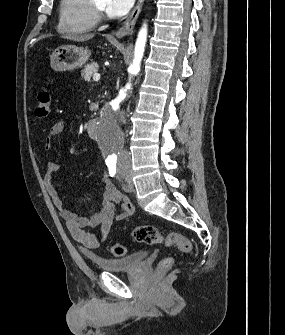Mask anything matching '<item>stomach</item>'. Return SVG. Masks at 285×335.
Instances as JSON below:
<instances>
[{"label":"stomach","instance_id":"0dacf381","mask_svg":"<svg viewBox=\"0 0 285 335\" xmlns=\"http://www.w3.org/2000/svg\"><path fill=\"white\" fill-rule=\"evenodd\" d=\"M91 56L88 48H78V46H60L52 52L50 56V66L56 72L65 70H75L86 64Z\"/></svg>","mask_w":285,"mask_h":335}]
</instances>
